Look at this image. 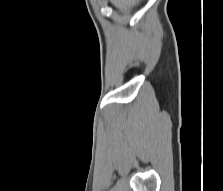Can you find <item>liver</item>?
I'll use <instances>...</instances> for the list:
<instances>
[{"label": "liver", "mask_w": 223, "mask_h": 191, "mask_svg": "<svg viewBox=\"0 0 223 191\" xmlns=\"http://www.w3.org/2000/svg\"><path fill=\"white\" fill-rule=\"evenodd\" d=\"M111 3L119 9H124L133 4L134 0H111Z\"/></svg>", "instance_id": "obj_1"}]
</instances>
